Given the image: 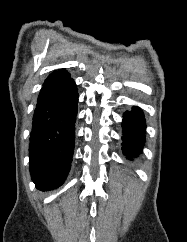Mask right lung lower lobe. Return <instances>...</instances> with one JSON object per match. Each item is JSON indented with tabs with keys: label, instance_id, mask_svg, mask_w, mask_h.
I'll use <instances>...</instances> for the list:
<instances>
[{
	"label": "right lung lower lobe",
	"instance_id": "obj_1",
	"mask_svg": "<svg viewBox=\"0 0 187 242\" xmlns=\"http://www.w3.org/2000/svg\"><path fill=\"white\" fill-rule=\"evenodd\" d=\"M78 92L70 75L44 84L37 100L29 145L30 173L37 189L65 181L72 162Z\"/></svg>",
	"mask_w": 187,
	"mask_h": 242
}]
</instances>
